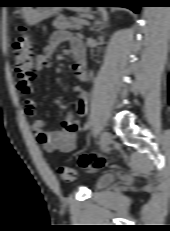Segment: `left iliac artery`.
Listing matches in <instances>:
<instances>
[{
	"label": "left iliac artery",
	"mask_w": 170,
	"mask_h": 231,
	"mask_svg": "<svg viewBox=\"0 0 170 231\" xmlns=\"http://www.w3.org/2000/svg\"><path fill=\"white\" fill-rule=\"evenodd\" d=\"M89 126H90V124H86V125L84 126V129H87Z\"/></svg>",
	"instance_id": "1"
}]
</instances>
